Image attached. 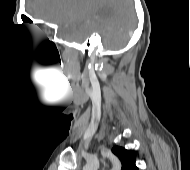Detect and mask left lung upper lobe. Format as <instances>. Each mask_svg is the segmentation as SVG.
<instances>
[{"mask_svg": "<svg viewBox=\"0 0 190 170\" xmlns=\"http://www.w3.org/2000/svg\"><path fill=\"white\" fill-rule=\"evenodd\" d=\"M112 152L119 158L122 164L121 170H138L135 165V154L131 150L115 146Z\"/></svg>", "mask_w": 190, "mask_h": 170, "instance_id": "5c2ea615", "label": "left lung upper lobe"}]
</instances>
